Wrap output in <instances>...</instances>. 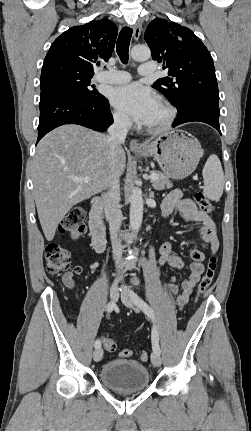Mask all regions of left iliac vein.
Returning <instances> with one entry per match:
<instances>
[{"mask_svg": "<svg viewBox=\"0 0 251 431\" xmlns=\"http://www.w3.org/2000/svg\"><path fill=\"white\" fill-rule=\"evenodd\" d=\"M121 301L123 304L129 308L135 309V303L133 300L132 292L125 291L121 294ZM151 362L155 367H159L162 363L160 354L153 352L151 355Z\"/></svg>", "mask_w": 251, "mask_h": 431, "instance_id": "obj_1", "label": "left iliac vein"}]
</instances>
